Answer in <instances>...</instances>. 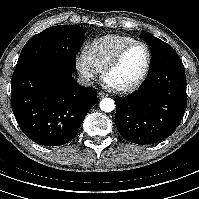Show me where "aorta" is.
Segmentation results:
<instances>
[{"instance_id":"762f6f07","label":"aorta","mask_w":199,"mask_h":199,"mask_svg":"<svg viewBox=\"0 0 199 199\" xmlns=\"http://www.w3.org/2000/svg\"><path fill=\"white\" fill-rule=\"evenodd\" d=\"M100 109L104 112H111L115 109V102L112 98H104L100 101Z\"/></svg>"}]
</instances>
